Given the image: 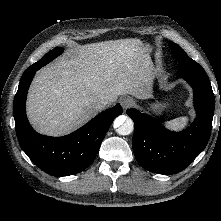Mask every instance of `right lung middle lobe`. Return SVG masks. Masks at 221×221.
Instances as JSON below:
<instances>
[{"label":"right lung middle lobe","instance_id":"obj_1","mask_svg":"<svg viewBox=\"0 0 221 221\" xmlns=\"http://www.w3.org/2000/svg\"><path fill=\"white\" fill-rule=\"evenodd\" d=\"M62 52H63V49L60 47H57L51 50L50 52H48L44 57L41 58V60H39L33 65H45L49 63L51 60H53L54 58H56Z\"/></svg>","mask_w":221,"mask_h":221}]
</instances>
